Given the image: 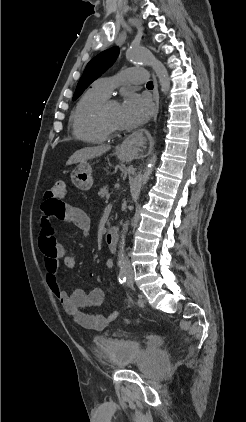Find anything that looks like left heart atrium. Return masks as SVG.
<instances>
[{
    "instance_id": "left-heart-atrium-1",
    "label": "left heart atrium",
    "mask_w": 246,
    "mask_h": 422,
    "mask_svg": "<svg viewBox=\"0 0 246 422\" xmlns=\"http://www.w3.org/2000/svg\"><path fill=\"white\" fill-rule=\"evenodd\" d=\"M152 113L148 100L135 94L127 93L119 110L121 128L129 129L143 124Z\"/></svg>"
}]
</instances>
